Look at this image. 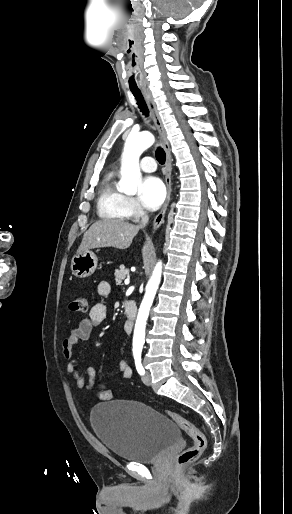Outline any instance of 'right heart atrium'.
I'll list each match as a JSON object with an SVG mask.
<instances>
[{
	"label": "right heart atrium",
	"instance_id": "obj_1",
	"mask_svg": "<svg viewBox=\"0 0 292 514\" xmlns=\"http://www.w3.org/2000/svg\"><path fill=\"white\" fill-rule=\"evenodd\" d=\"M128 207L131 211L136 208V202L132 198H128Z\"/></svg>",
	"mask_w": 292,
	"mask_h": 514
}]
</instances>
